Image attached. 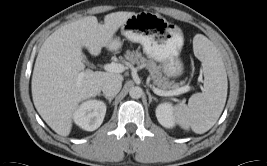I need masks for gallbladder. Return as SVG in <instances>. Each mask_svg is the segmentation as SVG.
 <instances>
[{
    "label": "gallbladder",
    "instance_id": "1",
    "mask_svg": "<svg viewBox=\"0 0 267 166\" xmlns=\"http://www.w3.org/2000/svg\"><path fill=\"white\" fill-rule=\"evenodd\" d=\"M83 60H84V61H87V60H86V57H85L84 55H83Z\"/></svg>",
    "mask_w": 267,
    "mask_h": 166
}]
</instances>
